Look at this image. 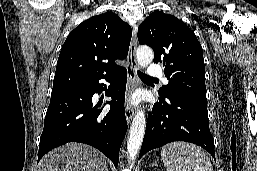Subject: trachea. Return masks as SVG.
<instances>
[{
    "label": "trachea",
    "instance_id": "trachea-1",
    "mask_svg": "<svg viewBox=\"0 0 257 171\" xmlns=\"http://www.w3.org/2000/svg\"><path fill=\"white\" fill-rule=\"evenodd\" d=\"M138 75L141 79H147V80H153V81H158V79L155 78H151L148 75H146L145 73L138 71Z\"/></svg>",
    "mask_w": 257,
    "mask_h": 171
}]
</instances>
